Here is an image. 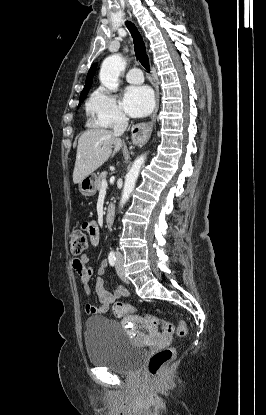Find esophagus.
I'll use <instances>...</instances> for the list:
<instances>
[{
    "label": "esophagus",
    "instance_id": "34e87169",
    "mask_svg": "<svg viewBox=\"0 0 266 415\" xmlns=\"http://www.w3.org/2000/svg\"><path fill=\"white\" fill-rule=\"evenodd\" d=\"M154 87H155V108L151 116V120L147 123L137 124L132 128V141L136 145H142L147 142V140L151 136V133H152V130L155 124V119H156L157 111L159 108V87L157 83H154Z\"/></svg>",
    "mask_w": 266,
    "mask_h": 415
}]
</instances>
